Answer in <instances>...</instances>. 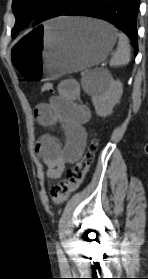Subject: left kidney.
Segmentation results:
<instances>
[{
  "label": "left kidney",
  "mask_w": 148,
  "mask_h": 279,
  "mask_svg": "<svg viewBox=\"0 0 148 279\" xmlns=\"http://www.w3.org/2000/svg\"><path fill=\"white\" fill-rule=\"evenodd\" d=\"M122 92V83L119 80H114L108 72L100 75L99 89L92 95L96 114L104 118L110 115L113 107L120 101Z\"/></svg>",
  "instance_id": "1"
}]
</instances>
